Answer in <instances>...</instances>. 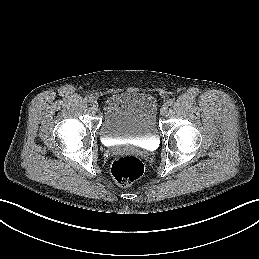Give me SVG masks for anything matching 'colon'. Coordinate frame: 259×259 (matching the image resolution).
<instances>
[{
    "mask_svg": "<svg viewBox=\"0 0 259 259\" xmlns=\"http://www.w3.org/2000/svg\"><path fill=\"white\" fill-rule=\"evenodd\" d=\"M143 163L135 155L117 157L112 164L111 173L121 186H128L143 174Z\"/></svg>",
    "mask_w": 259,
    "mask_h": 259,
    "instance_id": "5ec220e1",
    "label": "colon"
}]
</instances>
